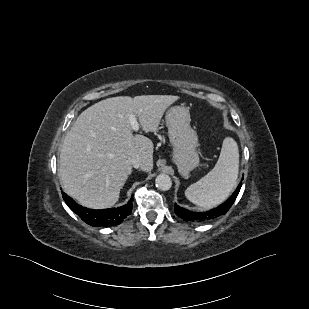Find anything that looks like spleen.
Instances as JSON below:
<instances>
[{"instance_id":"3e777b00","label":"spleen","mask_w":309,"mask_h":309,"mask_svg":"<svg viewBox=\"0 0 309 309\" xmlns=\"http://www.w3.org/2000/svg\"><path fill=\"white\" fill-rule=\"evenodd\" d=\"M239 170V150L233 138L224 139L219 159L214 168L196 183L190 185L185 196L192 203L212 208L230 195L236 186Z\"/></svg>"}]
</instances>
